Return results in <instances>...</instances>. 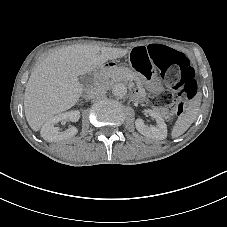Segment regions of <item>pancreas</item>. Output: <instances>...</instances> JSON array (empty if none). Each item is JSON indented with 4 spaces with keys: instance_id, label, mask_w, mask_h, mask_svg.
I'll return each instance as SVG.
<instances>
[{
    "instance_id": "1",
    "label": "pancreas",
    "mask_w": 227,
    "mask_h": 227,
    "mask_svg": "<svg viewBox=\"0 0 227 227\" xmlns=\"http://www.w3.org/2000/svg\"><path fill=\"white\" fill-rule=\"evenodd\" d=\"M129 80L135 81L139 92L145 95V89L143 88V83L140 80L138 73L123 66H115L101 72L97 77V84H109L114 81L127 82Z\"/></svg>"
}]
</instances>
